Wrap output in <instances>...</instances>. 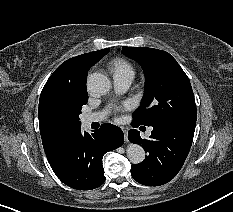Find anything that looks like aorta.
Instances as JSON below:
<instances>
[{
    "mask_svg": "<svg viewBox=\"0 0 233 212\" xmlns=\"http://www.w3.org/2000/svg\"><path fill=\"white\" fill-rule=\"evenodd\" d=\"M88 89L96 94H105L111 88L110 79L102 73H92L87 78ZM127 157L133 164H139L145 159L144 149L137 144H129L126 150Z\"/></svg>",
    "mask_w": 233,
    "mask_h": 212,
    "instance_id": "1",
    "label": "aorta"
}]
</instances>
